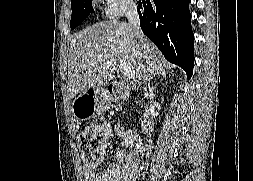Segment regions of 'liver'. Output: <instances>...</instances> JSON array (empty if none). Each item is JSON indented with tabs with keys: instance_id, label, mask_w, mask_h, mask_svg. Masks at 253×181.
Segmentation results:
<instances>
[{
	"instance_id": "liver-1",
	"label": "liver",
	"mask_w": 253,
	"mask_h": 181,
	"mask_svg": "<svg viewBox=\"0 0 253 181\" xmlns=\"http://www.w3.org/2000/svg\"><path fill=\"white\" fill-rule=\"evenodd\" d=\"M120 59L132 64L140 85L159 74L165 65L158 48L145 37L139 41L125 22H99L75 34L68 60L69 96L73 98L84 90L107 84Z\"/></svg>"
}]
</instances>
